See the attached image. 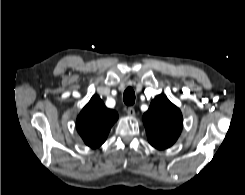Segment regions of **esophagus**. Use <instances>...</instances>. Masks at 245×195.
I'll list each match as a JSON object with an SVG mask.
<instances>
[{
  "label": "esophagus",
  "mask_w": 245,
  "mask_h": 195,
  "mask_svg": "<svg viewBox=\"0 0 245 195\" xmlns=\"http://www.w3.org/2000/svg\"><path fill=\"white\" fill-rule=\"evenodd\" d=\"M127 114L129 116H135V109L133 107H128Z\"/></svg>",
  "instance_id": "1"
}]
</instances>
